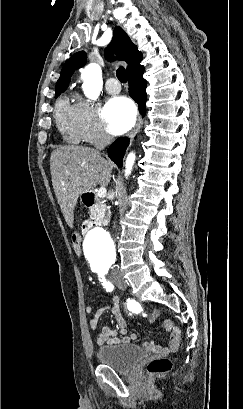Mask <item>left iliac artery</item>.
<instances>
[{
  "mask_svg": "<svg viewBox=\"0 0 243 409\" xmlns=\"http://www.w3.org/2000/svg\"><path fill=\"white\" fill-rule=\"evenodd\" d=\"M98 273L100 281H102V285L106 288L107 291H112L114 288L113 285L109 281L105 280V274L107 273V269H102Z\"/></svg>",
  "mask_w": 243,
  "mask_h": 409,
  "instance_id": "left-iliac-artery-1",
  "label": "left iliac artery"
}]
</instances>
